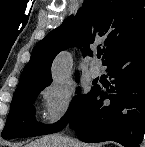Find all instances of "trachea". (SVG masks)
<instances>
[{
  "mask_svg": "<svg viewBox=\"0 0 145 147\" xmlns=\"http://www.w3.org/2000/svg\"><path fill=\"white\" fill-rule=\"evenodd\" d=\"M102 53H103V51L99 50L98 53H97V57L100 58Z\"/></svg>",
  "mask_w": 145,
  "mask_h": 147,
  "instance_id": "obj_1",
  "label": "trachea"
}]
</instances>
